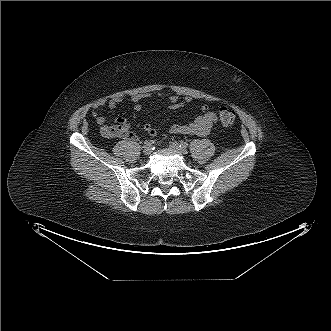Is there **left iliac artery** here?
I'll return each mask as SVG.
<instances>
[{"instance_id": "1", "label": "left iliac artery", "mask_w": 331, "mask_h": 331, "mask_svg": "<svg viewBox=\"0 0 331 331\" xmlns=\"http://www.w3.org/2000/svg\"><path fill=\"white\" fill-rule=\"evenodd\" d=\"M180 146H181L182 148H187V147H188V143L182 141V142L180 143Z\"/></svg>"}]
</instances>
